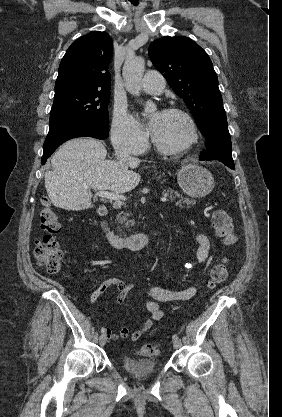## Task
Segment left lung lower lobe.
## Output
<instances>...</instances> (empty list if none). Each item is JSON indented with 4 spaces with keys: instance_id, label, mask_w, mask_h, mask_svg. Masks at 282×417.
<instances>
[{
    "instance_id": "1",
    "label": "left lung lower lobe",
    "mask_w": 282,
    "mask_h": 417,
    "mask_svg": "<svg viewBox=\"0 0 282 417\" xmlns=\"http://www.w3.org/2000/svg\"><path fill=\"white\" fill-rule=\"evenodd\" d=\"M203 135L207 139V151H203L199 156V159H216L229 168L235 169L232 159V145L227 120L214 122Z\"/></svg>"
}]
</instances>
